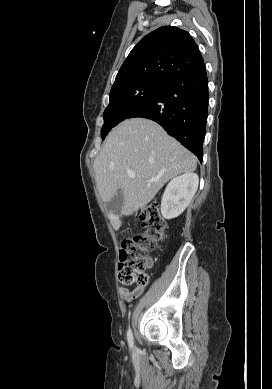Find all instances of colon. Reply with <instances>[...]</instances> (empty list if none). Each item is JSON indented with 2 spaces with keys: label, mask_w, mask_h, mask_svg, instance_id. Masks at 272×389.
<instances>
[{
  "label": "colon",
  "mask_w": 272,
  "mask_h": 389,
  "mask_svg": "<svg viewBox=\"0 0 272 389\" xmlns=\"http://www.w3.org/2000/svg\"><path fill=\"white\" fill-rule=\"evenodd\" d=\"M139 216L144 232L121 244L118 269L119 279L125 285L145 286L148 283L147 254L153 252L165 236L166 222L157 204L147 205Z\"/></svg>",
  "instance_id": "5ec220e1"
}]
</instances>
